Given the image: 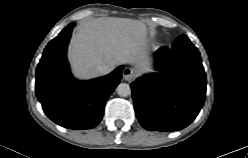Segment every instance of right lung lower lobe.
I'll list each match as a JSON object with an SVG mask.
<instances>
[{"label": "right lung lower lobe", "mask_w": 248, "mask_h": 158, "mask_svg": "<svg viewBox=\"0 0 248 158\" xmlns=\"http://www.w3.org/2000/svg\"><path fill=\"white\" fill-rule=\"evenodd\" d=\"M69 24L45 48L36 70V95L45 114L69 129H91L102 119L107 99L119 84L124 66L110 74L80 82L66 59L72 28Z\"/></svg>", "instance_id": "1"}]
</instances>
